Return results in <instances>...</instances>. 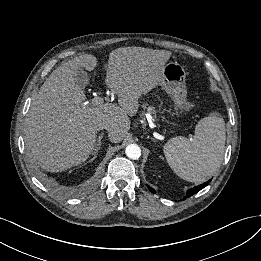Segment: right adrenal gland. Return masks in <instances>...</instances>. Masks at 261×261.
<instances>
[{
  "instance_id": "1",
  "label": "right adrenal gland",
  "mask_w": 261,
  "mask_h": 261,
  "mask_svg": "<svg viewBox=\"0 0 261 261\" xmlns=\"http://www.w3.org/2000/svg\"><path fill=\"white\" fill-rule=\"evenodd\" d=\"M103 136H104V134L102 133V134H101L100 136H98V138H97V141H96V143H95V145H94V148H93V151H92V155H94V157L92 158V160L96 158L97 153H98V151H99L100 148H101V140H102Z\"/></svg>"
}]
</instances>
